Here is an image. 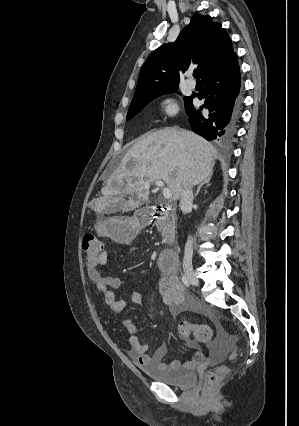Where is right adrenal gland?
<instances>
[{"label": "right adrenal gland", "mask_w": 299, "mask_h": 426, "mask_svg": "<svg viewBox=\"0 0 299 426\" xmlns=\"http://www.w3.org/2000/svg\"><path fill=\"white\" fill-rule=\"evenodd\" d=\"M210 180H211V177H208L207 179H205V180H203L202 182H200V184L198 185V188H197V190H196V192H195L194 197H196V196L199 194V192H200L201 188H202L205 184H206L207 186H210Z\"/></svg>", "instance_id": "1"}]
</instances>
